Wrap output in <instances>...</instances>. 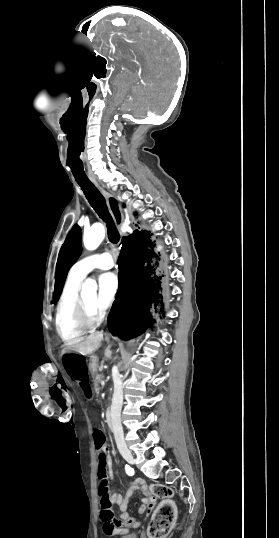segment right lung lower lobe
<instances>
[{
  "instance_id": "obj_1",
  "label": "right lung lower lobe",
  "mask_w": 279,
  "mask_h": 538,
  "mask_svg": "<svg viewBox=\"0 0 279 538\" xmlns=\"http://www.w3.org/2000/svg\"><path fill=\"white\" fill-rule=\"evenodd\" d=\"M152 235L136 229L123 238L118 260L119 290L108 316V328L126 339L140 335L154 323L149 319L151 306L160 303L163 311V295L168 297L165 260Z\"/></svg>"
}]
</instances>
